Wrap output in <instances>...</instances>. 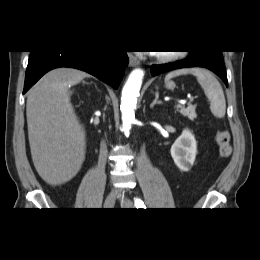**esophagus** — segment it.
<instances>
[{
    "label": "esophagus",
    "instance_id": "esophagus-1",
    "mask_svg": "<svg viewBox=\"0 0 260 260\" xmlns=\"http://www.w3.org/2000/svg\"><path fill=\"white\" fill-rule=\"evenodd\" d=\"M129 64H130L131 67H136L140 64V61L133 54H129Z\"/></svg>",
    "mask_w": 260,
    "mask_h": 260
}]
</instances>
